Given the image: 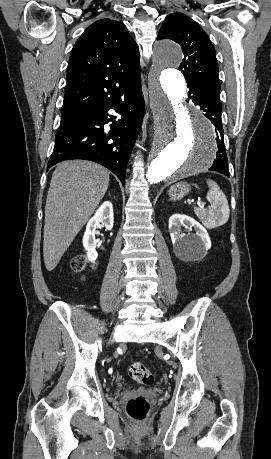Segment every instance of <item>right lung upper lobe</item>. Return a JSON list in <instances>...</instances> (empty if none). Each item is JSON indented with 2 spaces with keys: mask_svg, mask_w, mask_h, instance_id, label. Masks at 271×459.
<instances>
[{
  "mask_svg": "<svg viewBox=\"0 0 271 459\" xmlns=\"http://www.w3.org/2000/svg\"><path fill=\"white\" fill-rule=\"evenodd\" d=\"M138 50L124 24L105 18L90 25L69 58L62 114L91 107L96 99L139 79Z\"/></svg>",
  "mask_w": 271,
  "mask_h": 459,
  "instance_id": "cb5924a9",
  "label": "right lung upper lobe"
}]
</instances>
